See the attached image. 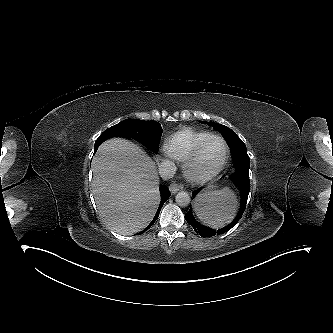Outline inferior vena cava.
<instances>
[{
    "label": "inferior vena cava",
    "mask_w": 333,
    "mask_h": 333,
    "mask_svg": "<svg viewBox=\"0 0 333 333\" xmlns=\"http://www.w3.org/2000/svg\"><path fill=\"white\" fill-rule=\"evenodd\" d=\"M158 167L159 175L163 180L171 179L176 172V166L170 160H162Z\"/></svg>",
    "instance_id": "602c4592"
}]
</instances>
